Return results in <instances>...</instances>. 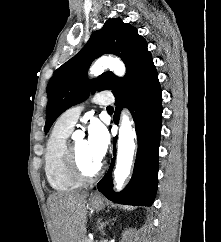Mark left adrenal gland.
<instances>
[{"label": "left adrenal gland", "instance_id": "a2214340", "mask_svg": "<svg viewBox=\"0 0 221 242\" xmlns=\"http://www.w3.org/2000/svg\"><path fill=\"white\" fill-rule=\"evenodd\" d=\"M106 223H108V221H107ZM100 225H101V226H100V228H101V233H102V235H105V233H104V231H103V227L105 226V223H101ZM101 242H106V241H101Z\"/></svg>", "mask_w": 221, "mask_h": 242}]
</instances>
